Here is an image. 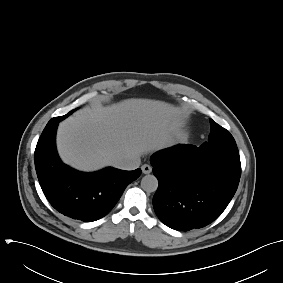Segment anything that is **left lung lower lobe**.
I'll return each instance as SVG.
<instances>
[{
	"label": "left lung lower lobe",
	"instance_id": "obj_1",
	"mask_svg": "<svg viewBox=\"0 0 283 283\" xmlns=\"http://www.w3.org/2000/svg\"><path fill=\"white\" fill-rule=\"evenodd\" d=\"M159 186L153 197L158 218L168 227L188 231L213 222L234 196L240 176L239 156L193 145H176L151 157Z\"/></svg>",
	"mask_w": 283,
	"mask_h": 283
}]
</instances>
